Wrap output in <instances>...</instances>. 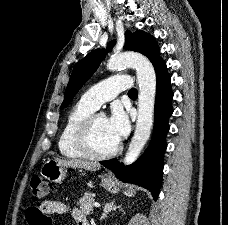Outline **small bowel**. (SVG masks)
Segmentation results:
<instances>
[{"label": "small bowel", "instance_id": "small-bowel-1", "mask_svg": "<svg viewBox=\"0 0 228 225\" xmlns=\"http://www.w3.org/2000/svg\"><path fill=\"white\" fill-rule=\"evenodd\" d=\"M53 214H71L78 225H80V220L84 218L82 212L78 209H71L67 204L61 201L47 200L42 202L39 207H30L27 210V225H55V222H52L51 218H46L47 215Z\"/></svg>", "mask_w": 228, "mask_h": 225}]
</instances>
